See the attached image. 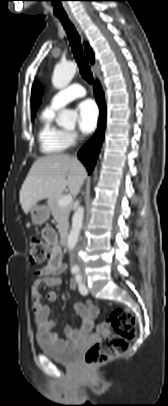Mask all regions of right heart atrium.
I'll list each match as a JSON object with an SVG mask.
<instances>
[{"mask_svg": "<svg viewBox=\"0 0 168 406\" xmlns=\"http://www.w3.org/2000/svg\"><path fill=\"white\" fill-rule=\"evenodd\" d=\"M67 134L71 144L76 142V140L78 139V134L75 131L67 132Z\"/></svg>", "mask_w": 168, "mask_h": 406, "instance_id": "d8ad5b80", "label": "right heart atrium"}]
</instances>
